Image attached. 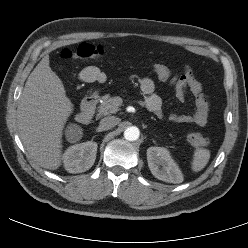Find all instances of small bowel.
<instances>
[{
	"label": "small bowel",
	"mask_w": 248,
	"mask_h": 248,
	"mask_svg": "<svg viewBox=\"0 0 248 248\" xmlns=\"http://www.w3.org/2000/svg\"><path fill=\"white\" fill-rule=\"evenodd\" d=\"M79 77L86 83H104L106 75L96 66H88L84 68ZM174 90L175 97L179 101H184L187 91L194 96V113L192 115H184L179 113H171L168 120L173 123H186L204 126L207 123L208 115L211 109L207 97L202 91V85L194 76L193 72L185 68L181 73L175 74V77L169 82ZM140 88L145 94L146 108L157 117L164 116L162 109V100L155 91V82L150 77L142 78Z\"/></svg>",
	"instance_id": "small-bowel-1"
}]
</instances>
